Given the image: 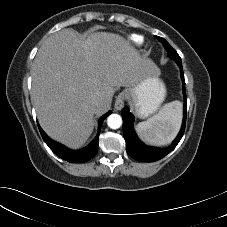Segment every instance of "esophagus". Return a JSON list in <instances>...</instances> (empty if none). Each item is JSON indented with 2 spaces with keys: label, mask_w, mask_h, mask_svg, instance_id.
Listing matches in <instances>:
<instances>
[{
  "label": "esophagus",
  "mask_w": 227,
  "mask_h": 227,
  "mask_svg": "<svg viewBox=\"0 0 227 227\" xmlns=\"http://www.w3.org/2000/svg\"><path fill=\"white\" fill-rule=\"evenodd\" d=\"M127 100V94L122 92L120 93L117 97H116V100H115V103H114V108L116 111H120L123 109L124 105H125V102Z\"/></svg>",
  "instance_id": "obj_1"
}]
</instances>
